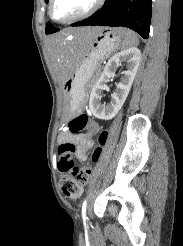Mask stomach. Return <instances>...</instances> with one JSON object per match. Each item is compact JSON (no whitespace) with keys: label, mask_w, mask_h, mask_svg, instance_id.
Listing matches in <instances>:
<instances>
[{"label":"stomach","mask_w":183,"mask_h":246,"mask_svg":"<svg viewBox=\"0 0 183 246\" xmlns=\"http://www.w3.org/2000/svg\"><path fill=\"white\" fill-rule=\"evenodd\" d=\"M123 41V29L102 28L90 41L82 43L64 42L69 47H80L74 71L63 84L65 111L69 117H73L81 112L85 102L87 83L100 61L122 45Z\"/></svg>","instance_id":"stomach-1"}]
</instances>
